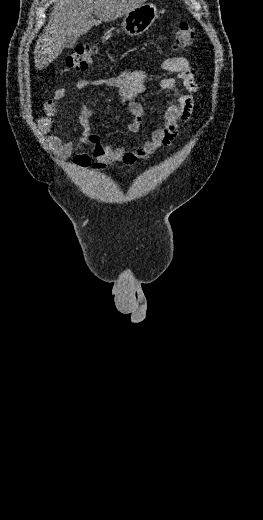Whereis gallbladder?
Wrapping results in <instances>:
<instances>
[{
	"label": "gallbladder",
	"mask_w": 263,
	"mask_h": 520,
	"mask_svg": "<svg viewBox=\"0 0 263 520\" xmlns=\"http://www.w3.org/2000/svg\"><path fill=\"white\" fill-rule=\"evenodd\" d=\"M74 46L72 40H69V42L67 43V47L69 48H72Z\"/></svg>",
	"instance_id": "1"
}]
</instances>
